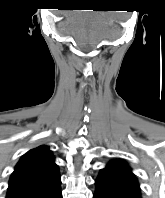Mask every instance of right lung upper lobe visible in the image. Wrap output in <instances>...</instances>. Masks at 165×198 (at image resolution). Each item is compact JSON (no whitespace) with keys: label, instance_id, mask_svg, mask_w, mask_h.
Instances as JSON below:
<instances>
[{"label":"right lung upper lobe","instance_id":"1","mask_svg":"<svg viewBox=\"0 0 165 198\" xmlns=\"http://www.w3.org/2000/svg\"><path fill=\"white\" fill-rule=\"evenodd\" d=\"M60 174L47 146L24 154L9 181L6 198H46L60 188Z\"/></svg>","mask_w":165,"mask_h":198}]
</instances>
